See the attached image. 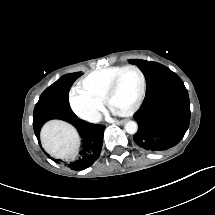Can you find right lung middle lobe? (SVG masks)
Returning <instances> with one entry per match:
<instances>
[{
	"label": "right lung middle lobe",
	"instance_id": "dd1d6c3e",
	"mask_svg": "<svg viewBox=\"0 0 215 215\" xmlns=\"http://www.w3.org/2000/svg\"><path fill=\"white\" fill-rule=\"evenodd\" d=\"M80 75V73L66 75L48 87L35 106L33 121L55 115L75 117L69 105L68 95L72 83Z\"/></svg>",
	"mask_w": 215,
	"mask_h": 215
}]
</instances>
